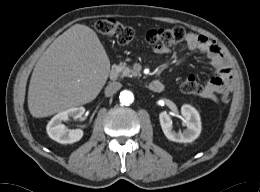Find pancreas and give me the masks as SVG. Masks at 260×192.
Returning <instances> with one entry per match:
<instances>
[{
	"label": "pancreas",
	"instance_id": "pancreas-1",
	"mask_svg": "<svg viewBox=\"0 0 260 192\" xmlns=\"http://www.w3.org/2000/svg\"><path fill=\"white\" fill-rule=\"evenodd\" d=\"M118 68L120 69V72H121V76L124 77V76H133V75H136V73L131 70L128 66H127V63L125 62H121L119 65H118Z\"/></svg>",
	"mask_w": 260,
	"mask_h": 192
}]
</instances>
